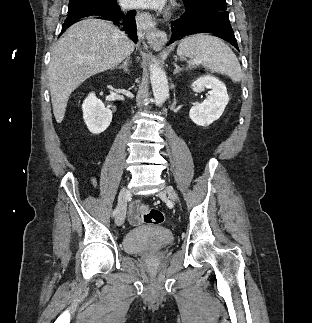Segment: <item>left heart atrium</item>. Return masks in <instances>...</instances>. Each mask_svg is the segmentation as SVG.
<instances>
[{
    "label": "left heart atrium",
    "mask_w": 312,
    "mask_h": 323,
    "mask_svg": "<svg viewBox=\"0 0 312 323\" xmlns=\"http://www.w3.org/2000/svg\"><path fill=\"white\" fill-rule=\"evenodd\" d=\"M129 8H138L139 12L151 11L161 12L162 8L168 7V0H125Z\"/></svg>",
    "instance_id": "obj_1"
}]
</instances>
